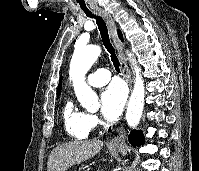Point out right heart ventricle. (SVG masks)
Here are the masks:
<instances>
[{"mask_svg": "<svg viewBox=\"0 0 199 171\" xmlns=\"http://www.w3.org/2000/svg\"><path fill=\"white\" fill-rule=\"evenodd\" d=\"M88 114L77 109L68 99L63 107V121L67 134L75 139H86L91 131Z\"/></svg>", "mask_w": 199, "mask_h": 171, "instance_id": "right-heart-ventricle-1", "label": "right heart ventricle"}]
</instances>
